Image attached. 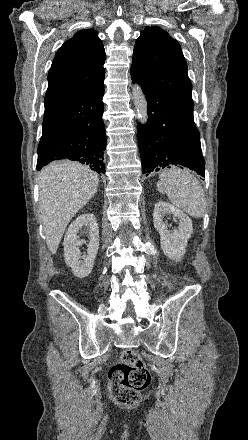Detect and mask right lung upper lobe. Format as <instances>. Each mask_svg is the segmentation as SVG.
<instances>
[{
    "label": "right lung upper lobe",
    "instance_id": "obj_1",
    "mask_svg": "<svg viewBox=\"0 0 248 440\" xmlns=\"http://www.w3.org/2000/svg\"><path fill=\"white\" fill-rule=\"evenodd\" d=\"M105 50L93 29L80 30L59 48L48 73L45 105L104 84Z\"/></svg>",
    "mask_w": 248,
    "mask_h": 440
}]
</instances>
